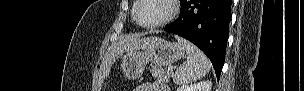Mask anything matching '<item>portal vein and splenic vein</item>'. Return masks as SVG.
Here are the masks:
<instances>
[{"label": "portal vein and splenic vein", "instance_id": "1", "mask_svg": "<svg viewBox=\"0 0 304 91\" xmlns=\"http://www.w3.org/2000/svg\"><path fill=\"white\" fill-rule=\"evenodd\" d=\"M168 71H171V72H172V71H173V68H172V67H169V68H168Z\"/></svg>", "mask_w": 304, "mask_h": 91}]
</instances>
